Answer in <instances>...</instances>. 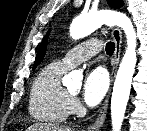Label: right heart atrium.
Returning a JSON list of instances; mask_svg holds the SVG:
<instances>
[{
	"label": "right heart atrium",
	"mask_w": 147,
	"mask_h": 131,
	"mask_svg": "<svg viewBox=\"0 0 147 131\" xmlns=\"http://www.w3.org/2000/svg\"><path fill=\"white\" fill-rule=\"evenodd\" d=\"M80 108L79 102L76 98H71L69 103V112L76 113Z\"/></svg>",
	"instance_id": "right-heart-atrium-1"
}]
</instances>
